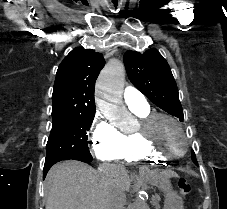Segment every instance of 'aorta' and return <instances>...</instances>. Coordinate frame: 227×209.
Returning a JSON list of instances; mask_svg holds the SVG:
<instances>
[{
    "mask_svg": "<svg viewBox=\"0 0 227 209\" xmlns=\"http://www.w3.org/2000/svg\"><path fill=\"white\" fill-rule=\"evenodd\" d=\"M125 69L118 60H111L101 71L96 83V100L100 111L109 119L127 113L122 103ZM136 197L130 209H148L146 193L134 186Z\"/></svg>",
    "mask_w": 227,
    "mask_h": 209,
    "instance_id": "1",
    "label": "aorta"
}]
</instances>
